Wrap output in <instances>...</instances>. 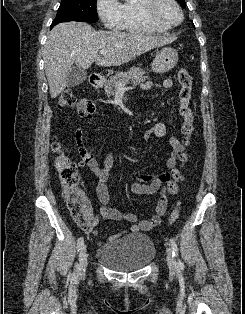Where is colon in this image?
I'll return each instance as SVG.
<instances>
[{
    "mask_svg": "<svg viewBox=\"0 0 245 314\" xmlns=\"http://www.w3.org/2000/svg\"><path fill=\"white\" fill-rule=\"evenodd\" d=\"M179 92V113L183 118L182 131L185 134V144L189 145L190 136L193 131V115L189 108V101L192 88V77L185 67L178 72ZM58 107L64 109L74 107L77 99L70 89L64 90L58 98ZM52 149L56 154L54 158V168L57 172L59 183L63 192L64 199L70 211L74 222L83 230L91 229V221L86 211L85 196L79 189L78 165L73 162L66 154L64 146L57 140L54 141ZM187 153L180 156L181 166L172 172V179L168 187L163 192V198L166 200V194H173L177 190L178 184L182 181V168L188 162ZM179 216V209L175 208L171 214L169 222H174Z\"/></svg>",
    "mask_w": 245,
    "mask_h": 314,
    "instance_id": "1",
    "label": "colon"
}]
</instances>
